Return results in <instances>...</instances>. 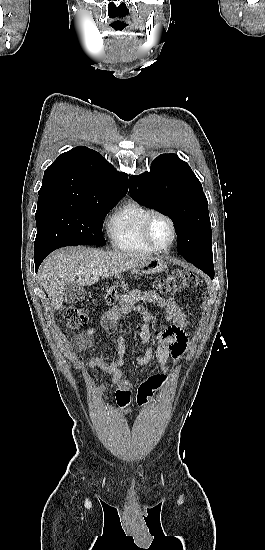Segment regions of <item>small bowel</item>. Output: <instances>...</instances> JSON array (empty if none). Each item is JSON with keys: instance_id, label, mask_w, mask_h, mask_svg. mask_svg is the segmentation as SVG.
Here are the masks:
<instances>
[{"instance_id": "1", "label": "small bowel", "mask_w": 265, "mask_h": 550, "mask_svg": "<svg viewBox=\"0 0 265 550\" xmlns=\"http://www.w3.org/2000/svg\"><path fill=\"white\" fill-rule=\"evenodd\" d=\"M141 302L159 304L166 311L165 319L173 323L172 326L161 330L157 334L158 346L156 349L149 345V327L152 318L141 306ZM131 312H136L142 317V324L138 332L142 353L135 358V362L138 365L144 366L155 358L160 365L162 377L166 380L168 377V361L171 359L173 362H178L183 358L186 352L187 315L182 311L178 301L173 298H161L153 291H139L134 289L127 292L115 307L106 311L101 316V324L107 332L113 333L119 317L122 314H129ZM95 334L96 328L90 327L84 332L74 336L72 345L77 350H86L91 345ZM116 344L117 354L113 361L106 362L99 357H91L88 361V366L111 375L112 383L116 385L117 401L122 408H127L130 403L131 383L123 378V366L126 360V343L122 335L116 337ZM105 391L106 386L104 385L99 389V398L104 395Z\"/></svg>"}]
</instances>
